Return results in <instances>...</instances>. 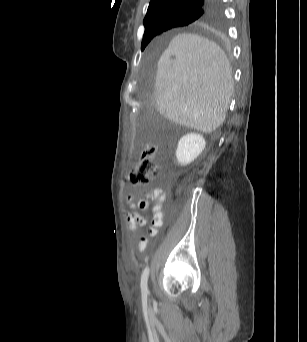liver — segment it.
<instances>
[{
    "instance_id": "obj_1",
    "label": "liver",
    "mask_w": 307,
    "mask_h": 342,
    "mask_svg": "<svg viewBox=\"0 0 307 342\" xmlns=\"http://www.w3.org/2000/svg\"><path fill=\"white\" fill-rule=\"evenodd\" d=\"M156 73V108L165 118L204 134L223 124L234 86L229 60L215 42L174 36Z\"/></svg>"
}]
</instances>
